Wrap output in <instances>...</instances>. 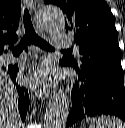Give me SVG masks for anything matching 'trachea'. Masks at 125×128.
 <instances>
[{"mask_svg": "<svg viewBox=\"0 0 125 128\" xmlns=\"http://www.w3.org/2000/svg\"><path fill=\"white\" fill-rule=\"evenodd\" d=\"M23 23L25 28V35L23 36L21 41L14 47L13 52H21L24 48H26V46L30 44H34L45 50H50V51L55 50L54 47H52L49 43H47L45 40L40 38L35 33V30L33 28V24L31 21V16L27 8L24 10ZM62 51H70V50L67 49Z\"/></svg>", "mask_w": 125, "mask_h": 128, "instance_id": "obj_1", "label": "trachea"}]
</instances>
